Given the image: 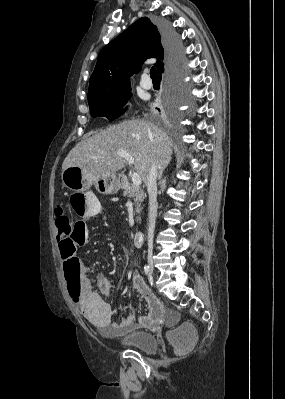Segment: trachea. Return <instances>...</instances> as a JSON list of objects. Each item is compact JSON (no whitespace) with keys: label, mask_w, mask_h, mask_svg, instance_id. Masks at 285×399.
I'll return each instance as SVG.
<instances>
[{"label":"trachea","mask_w":285,"mask_h":399,"mask_svg":"<svg viewBox=\"0 0 285 399\" xmlns=\"http://www.w3.org/2000/svg\"><path fill=\"white\" fill-rule=\"evenodd\" d=\"M150 77L152 78V80H159L158 72L155 67L151 68Z\"/></svg>","instance_id":"1"}]
</instances>
